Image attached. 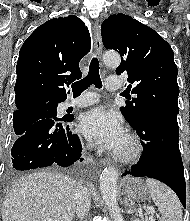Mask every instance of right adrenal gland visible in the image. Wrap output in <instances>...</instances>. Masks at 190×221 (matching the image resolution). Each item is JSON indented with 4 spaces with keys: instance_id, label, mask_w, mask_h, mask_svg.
Instances as JSON below:
<instances>
[{
    "instance_id": "2a0ac1e0",
    "label": "right adrenal gland",
    "mask_w": 190,
    "mask_h": 221,
    "mask_svg": "<svg viewBox=\"0 0 190 221\" xmlns=\"http://www.w3.org/2000/svg\"><path fill=\"white\" fill-rule=\"evenodd\" d=\"M73 219H74V221H75V220L77 219V216H74Z\"/></svg>"
}]
</instances>
